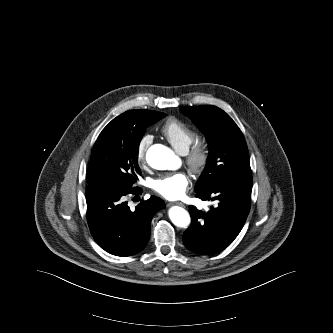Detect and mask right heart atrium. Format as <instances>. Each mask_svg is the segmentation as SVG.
I'll return each instance as SVG.
<instances>
[{
    "instance_id": "right-heart-atrium-1",
    "label": "right heart atrium",
    "mask_w": 333,
    "mask_h": 333,
    "mask_svg": "<svg viewBox=\"0 0 333 333\" xmlns=\"http://www.w3.org/2000/svg\"><path fill=\"white\" fill-rule=\"evenodd\" d=\"M152 142V136L149 134L143 135L137 143L136 147V157L139 164H144L146 162V153Z\"/></svg>"
}]
</instances>
